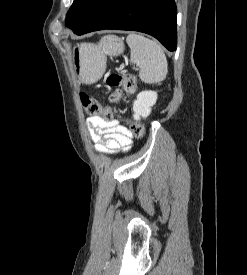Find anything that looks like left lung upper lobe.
Wrapping results in <instances>:
<instances>
[{
	"label": "left lung upper lobe",
	"mask_w": 247,
	"mask_h": 275,
	"mask_svg": "<svg viewBox=\"0 0 247 275\" xmlns=\"http://www.w3.org/2000/svg\"><path fill=\"white\" fill-rule=\"evenodd\" d=\"M102 0H74L66 16V25L72 30L80 28Z\"/></svg>",
	"instance_id": "obj_1"
}]
</instances>
